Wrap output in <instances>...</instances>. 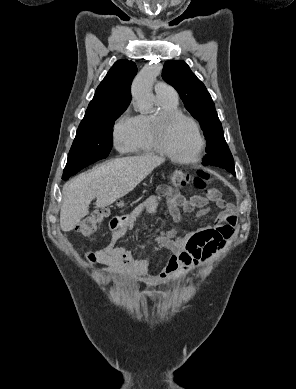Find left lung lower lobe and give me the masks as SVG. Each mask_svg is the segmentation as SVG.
Returning <instances> with one entry per match:
<instances>
[{
	"label": "left lung lower lobe",
	"instance_id": "0a47b994",
	"mask_svg": "<svg viewBox=\"0 0 296 389\" xmlns=\"http://www.w3.org/2000/svg\"><path fill=\"white\" fill-rule=\"evenodd\" d=\"M213 156H215L216 159L222 160L224 162L233 160L232 154L229 150L228 145L226 144V141L214 149ZM229 172H231L235 176L234 167L229 168Z\"/></svg>",
	"mask_w": 296,
	"mask_h": 389
}]
</instances>
